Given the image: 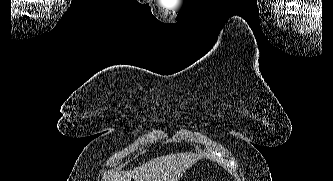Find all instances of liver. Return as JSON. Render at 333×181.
<instances>
[{
  "instance_id": "1",
  "label": "liver",
  "mask_w": 333,
  "mask_h": 181,
  "mask_svg": "<svg viewBox=\"0 0 333 181\" xmlns=\"http://www.w3.org/2000/svg\"><path fill=\"white\" fill-rule=\"evenodd\" d=\"M201 156L194 153H177L157 157L134 170L118 171L108 177L107 181H178L183 174Z\"/></svg>"
}]
</instances>
